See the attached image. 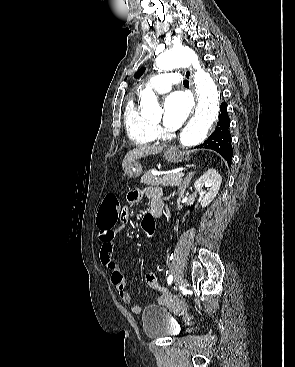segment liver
<instances>
[{
  "mask_svg": "<svg viewBox=\"0 0 295 367\" xmlns=\"http://www.w3.org/2000/svg\"><path fill=\"white\" fill-rule=\"evenodd\" d=\"M163 148H164L163 146H149V145L134 148L125 155L122 166L123 168H125L128 163L133 162L136 159L159 154L163 150Z\"/></svg>",
  "mask_w": 295,
  "mask_h": 367,
  "instance_id": "obj_1",
  "label": "liver"
}]
</instances>
